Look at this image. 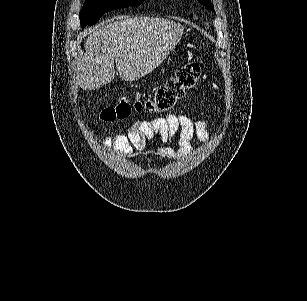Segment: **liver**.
Listing matches in <instances>:
<instances>
[{"label":"liver","instance_id":"obj_1","mask_svg":"<svg viewBox=\"0 0 307 301\" xmlns=\"http://www.w3.org/2000/svg\"><path fill=\"white\" fill-rule=\"evenodd\" d=\"M184 26L167 18L114 16L100 22L88 34L76 72L83 90H94L111 82L115 66L121 80H138L157 68L175 48Z\"/></svg>","mask_w":307,"mask_h":301}]
</instances>
